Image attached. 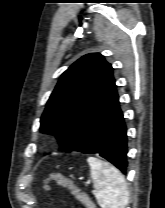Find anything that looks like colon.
<instances>
[{"instance_id":"obj_1","label":"colon","mask_w":165,"mask_h":208,"mask_svg":"<svg viewBox=\"0 0 165 208\" xmlns=\"http://www.w3.org/2000/svg\"><path fill=\"white\" fill-rule=\"evenodd\" d=\"M56 182L57 184L70 190L71 194L81 202L86 208H95L88 195L83 192L73 181L58 173L50 174L44 180V189L48 188L49 182Z\"/></svg>"}]
</instances>
